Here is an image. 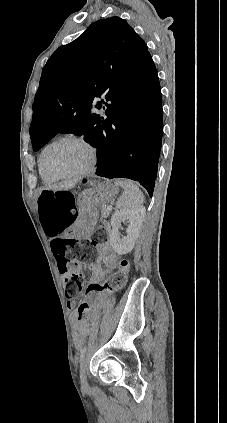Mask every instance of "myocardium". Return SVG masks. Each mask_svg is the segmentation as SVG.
<instances>
[{
  "label": "myocardium",
  "instance_id": "myocardium-1",
  "mask_svg": "<svg viewBox=\"0 0 227 423\" xmlns=\"http://www.w3.org/2000/svg\"><path fill=\"white\" fill-rule=\"evenodd\" d=\"M78 142L82 145H84L90 153V161L88 163V165L81 170L80 172L76 173V174H65V173H60L57 171H54L48 164V156L49 154L58 146L66 143V142ZM98 163V150L97 148L88 140L86 139L84 136H80V135H74V134H70V135H66L63 136L61 138H59L58 140L52 142L51 144H49L43 151L42 154V167L45 171V173L55 179H63V180H67V181H77V180H81L82 178L88 176L89 174H91L92 172H94L96 165Z\"/></svg>",
  "mask_w": 227,
  "mask_h": 423
}]
</instances>
